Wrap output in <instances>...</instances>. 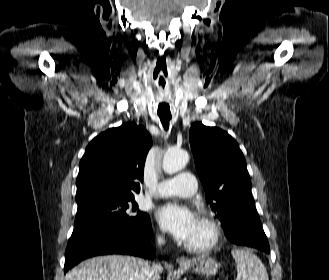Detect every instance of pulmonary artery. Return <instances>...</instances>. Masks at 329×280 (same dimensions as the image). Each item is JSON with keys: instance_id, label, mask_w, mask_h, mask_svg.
<instances>
[{"instance_id": "1", "label": "pulmonary artery", "mask_w": 329, "mask_h": 280, "mask_svg": "<svg viewBox=\"0 0 329 280\" xmlns=\"http://www.w3.org/2000/svg\"><path fill=\"white\" fill-rule=\"evenodd\" d=\"M196 192V179L189 173H180L159 182L155 195L159 197H190Z\"/></svg>"}]
</instances>
